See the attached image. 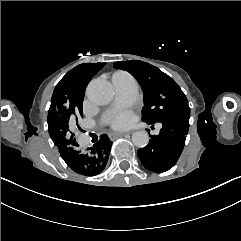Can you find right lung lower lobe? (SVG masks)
Wrapping results in <instances>:
<instances>
[{
    "label": "right lung lower lobe",
    "mask_w": 241,
    "mask_h": 241,
    "mask_svg": "<svg viewBox=\"0 0 241 241\" xmlns=\"http://www.w3.org/2000/svg\"><path fill=\"white\" fill-rule=\"evenodd\" d=\"M112 142L106 134L100 136L97 143L90 148L81 150L77 142H67L59 146L61 157L76 173L84 176H95L101 173L107 165Z\"/></svg>",
    "instance_id": "1"
}]
</instances>
